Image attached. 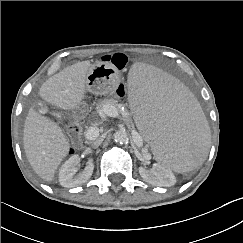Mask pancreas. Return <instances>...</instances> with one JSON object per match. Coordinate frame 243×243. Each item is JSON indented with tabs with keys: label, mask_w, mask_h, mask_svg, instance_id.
<instances>
[{
	"label": "pancreas",
	"mask_w": 243,
	"mask_h": 243,
	"mask_svg": "<svg viewBox=\"0 0 243 243\" xmlns=\"http://www.w3.org/2000/svg\"><path fill=\"white\" fill-rule=\"evenodd\" d=\"M106 106H111L117 109V111L119 112L120 107L122 106L121 104H118L117 100L115 99H104L101 100L97 106L96 109L98 112L102 111L103 113H105V107ZM126 123H131V120L129 118V115L127 114V112H124L122 117H121Z\"/></svg>",
	"instance_id": "1"
}]
</instances>
